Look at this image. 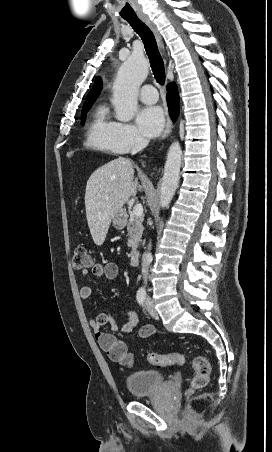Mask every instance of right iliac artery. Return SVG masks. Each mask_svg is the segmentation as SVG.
Returning <instances> with one entry per match:
<instances>
[{
  "label": "right iliac artery",
  "instance_id": "82829eb1",
  "mask_svg": "<svg viewBox=\"0 0 272 452\" xmlns=\"http://www.w3.org/2000/svg\"><path fill=\"white\" fill-rule=\"evenodd\" d=\"M144 300H145V296H138V297H137V301H138V303H139L140 305L143 304Z\"/></svg>",
  "mask_w": 272,
  "mask_h": 452
}]
</instances>
